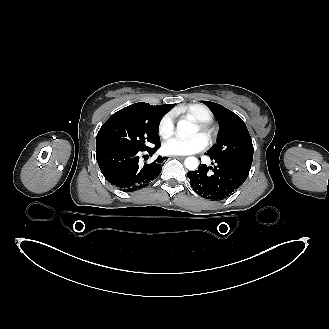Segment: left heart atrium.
<instances>
[{
    "instance_id": "1",
    "label": "left heart atrium",
    "mask_w": 329,
    "mask_h": 329,
    "mask_svg": "<svg viewBox=\"0 0 329 329\" xmlns=\"http://www.w3.org/2000/svg\"><path fill=\"white\" fill-rule=\"evenodd\" d=\"M207 146V140L201 134L189 138L173 137L163 144L166 153L172 155H187L200 152Z\"/></svg>"
}]
</instances>
